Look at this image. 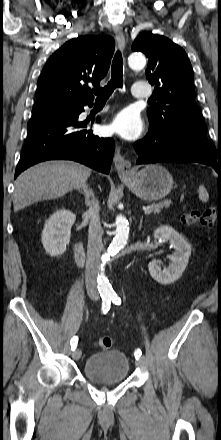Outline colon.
Here are the masks:
<instances>
[{"instance_id":"obj_1","label":"colon","mask_w":221,"mask_h":440,"mask_svg":"<svg viewBox=\"0 0 221 440\" xmlns=\"http://www.w3.org/2000/svg\"><path fill=\"white\" fill-rule=\"evenodd\" d=\"M181 223L186 226H204L211 227L216 220L215 211L213 209H206L204 211H189L181 215ZM96 349L107 350L112 345V340L109 337H102L94 343Z\"/></svg>"}]
</instances>
